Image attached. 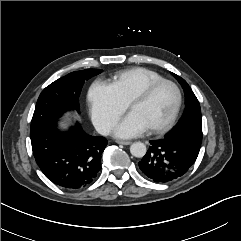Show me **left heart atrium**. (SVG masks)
I'll return each instance as SVG.
<instances>
[{"label": "left heart atrium", "instance_id": "obj_1", "mask_svg": "<svg viewBox=\"0 0 241 241\" xmlns=\"http://www.w3.org/2000/svg\"><path fill=\"white\" fill-rule=\"evenodd\" d=\"M149 129L147 123L138 114L131 111L115 128V135L131 138L145 133Z\"/></svg>", "mask_w": 241, "mask_h": 241}]
</instances>
